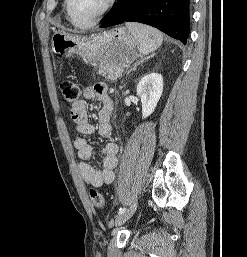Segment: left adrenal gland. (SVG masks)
I'll return each instance as SVG.
<instances>
[{"mask_svg":"<svg viewBox=\"0 0 247 257\" xmlns=\"http://www.w3.org/2000/svg\"><path fill=\"white\" fill-rule=\"evenodd\" d=\"M149 58H150V57L143 58L141 61L135 63L134 68H133V69H130V71L128 72V74H129L131 71L136 70V67H137L138 65H140L141 63L144 62V60L149 59Z\"/></svg>","mask_w":247,"mask_h":257,"instance_id":"a2214340","label":"left adrenal gland"}]
</instances>
